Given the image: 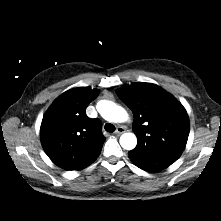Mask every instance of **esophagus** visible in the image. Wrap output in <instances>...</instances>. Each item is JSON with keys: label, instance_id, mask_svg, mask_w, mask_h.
<instances>
[{"label": "esophagus", "instance_id": "esophagus-1", "mask_svg": "<svg viewBox=\"0 0 221 221\" xmlns=\"http://www.w3.org/2000/svg\"><path fill=\"white\" fill-rule=\"evenodd\" d=\"M125 130H126L125 127L119 126V127H117L115 134L120 135V134L124 133Z\"/></svg>", "mask_w": 221, "mask_h": 221}]
</instances>
